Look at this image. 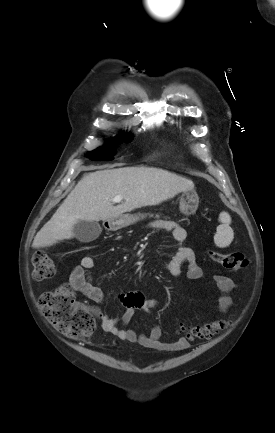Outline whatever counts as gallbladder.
Returning <instances> with one entry per match:
<instances>
[{"label":"gallbladder","mask_w":275,"mask_h":433,"mask_svg":"<svg viewBox=\"0 0 275 433\" xmlns=\"http://www.w3.org/2000/svg\"><path fill=\"white\" fill-rule=\"evenodd\" d=\"M101 231L102 229L96 221H78L73 227L75 238L82 243L96 240Z\"/></svg>","instance_id":"1"}]
</instances>
